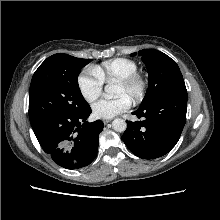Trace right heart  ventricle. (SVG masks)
Wrapping results in <instances>:
<instances>
[{
  "instance_id": "obj_1",
  "label": "right heart ventricle",
  "mask_w": 220,
  "mask_h": 220,
  "mask_svg": "<svg viewBox=\"0 0 220 220\" xmlns=\"http://www.w3.org/2000/svg\"><path fill=\"white\" fill-rule=\"evenodd\" d=\"M96 75L106 83H116L138 71L135 61L128 58H113L93 67Z\"/></svg>"
}]
</instances>
